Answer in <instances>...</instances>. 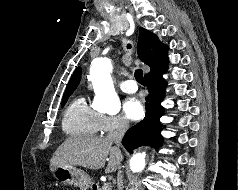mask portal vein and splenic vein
<instances>
[{
	"mask_svg": "<svg viewBox=\"0 0 238 190\" xmlns=\"http://www.w3.org/2000/svg\"><path fill=\"white\" fill-rule=\"evenodd\" d=\"M106 188L111 187L110 183L105 184Z\"/></svg>",
	"mask_w": 238,
	"mask_h": 190,
	"instance_id": "obj_1",
	"label": "portal vein and splenic vein"
}]
</instances>
